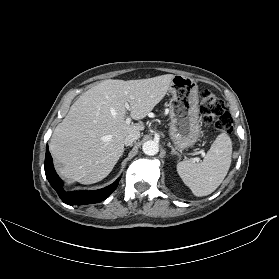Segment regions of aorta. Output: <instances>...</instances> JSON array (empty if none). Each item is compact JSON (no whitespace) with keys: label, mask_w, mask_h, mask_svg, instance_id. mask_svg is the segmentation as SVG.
I'll use <instances>...</instances> for the list:
<instances>
[{"label":"aorta","mask_w":279,"mask_h":279,"mask_svg":"<svg viewBox=\"0 0 279 279\" xmlns=\"http://www.w3.org/2000/svg\"><path fill=\"white\" fill-rule=\"evenodd\" d=\"M142 150L146 155L153 156L159 152V145L157 142L149 140L143 144Z\"/></svg>","instance_id":"aorta-1"}]
</instances>
